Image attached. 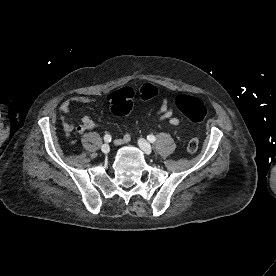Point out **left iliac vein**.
I'll return each mask as SVG.
<instances>
[{
    "label": "left iliac vein",
    "instance_id": "left-iliac-vein-1",
    "mask_svg": "<svg viewBox=\"0 0 276 276\" xmlns=\"http://www.w3.org/2000/svg\"><path fill=\"white\" fill-rule=\"evenodd\" d=\"M140 148L147 154L150 155L152 152L151 145L143 138H140L138 141Z\"/></svg>",
    "mask_w": 276,
    "mask_h": 276
}]
</instances>
